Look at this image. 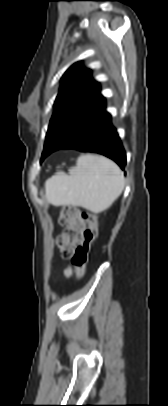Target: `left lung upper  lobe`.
<instances>
[{
  "mask_svg": "<svg viewBox=\"0 0 168 406\" xmlns=\"http://www.w3.org/2000/svg\"><path fill=\"white\" fill-rule=\"evenodd\" d=\"M90 74L77 62L63 75L41 160L72 139L103 99L99 84Z\"/></svg>",
  "mask_w": 168,
  "mask_h": 406,
  "instance_id": "1",
  "label": "left lung upper lobe"
}]
</instances>
